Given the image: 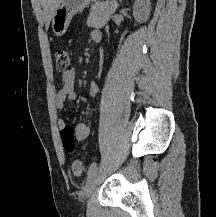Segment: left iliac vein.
<instances>
[{"mask_svg": "<svg viewBox=\"0 0 216 217\" xmlns=\"http://www.w3.org/2000/svg\"><path fill=\"white\" fill-rule=\"evenodd\" d=\"M98 180V170L95 169L87 178L85 187H84V195L86 198H89L93 193L95 186Z\"/></svg>", "mask_w": 216, "mask_h": 217, "instance_id": "left-iliac-vein-1", "label": "left iliac vein"}]
</instances>
